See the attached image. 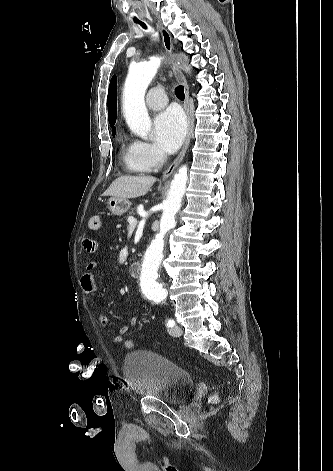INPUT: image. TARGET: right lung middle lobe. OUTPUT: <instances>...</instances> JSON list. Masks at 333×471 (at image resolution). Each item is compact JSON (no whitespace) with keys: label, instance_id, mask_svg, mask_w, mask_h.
Returning <instances> with one entry per match:
<instances>
[{"label":"right lung middle lobe","instance_id":"obj_1","mask_svg":"<svg viewBox=\"0 0 333 471\" xmlns=\"http://www.w3.org/2000/svg\"><path fill=\"white\" fill-rule=\"evenodd\" d=\"M112 134H113V136H115V130H113Z\"/></svg>","mask_w":333,"mask_h":471}]
</instances>
